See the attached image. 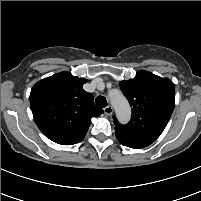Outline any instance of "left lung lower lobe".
Segmentation results:
<instances>
[{
    "label": "left lung lower lobe",
    "instance_id": "1",
    "mask_svg": "<svg viewBox=\"0 0 201 201\" xmlns=\"http://www.w3.org/2000/svg\"><path fill=\"white\" fill-rule=\"evenodd\" d=\"M115 134L118 141L121 144L130 148H135V149L144 148L153 142L152 140H149V139L127 136L116 130H115Z\"/></svg>",
    "mask_w": 201,
    "mask_h": 201
}]
</instances>
